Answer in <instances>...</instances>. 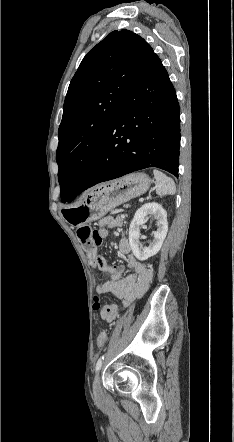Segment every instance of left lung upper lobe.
Wrapping results in <instances>:
<instances>
[{
  "instance_id": "1",
  "label": "left lung upper lobe",
  "mask_w": 234,
  "mask_h": 442,
  "mask_svg": "<svg viewBox=\"0 0 234 442\" xmlns=\"http://www.w3.org/2000/svg\"><path fill=\"white\" fill-rule=\"evenodd\" d=\"M153 54L143 38L123 29L111 32L82 60L69 85L58 131L62 202L80 189L123 97Z\"/></svg>"
}]
</instances>
